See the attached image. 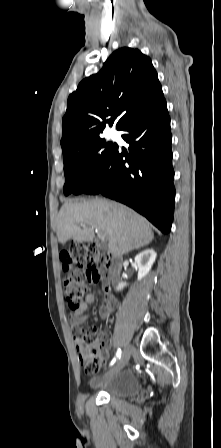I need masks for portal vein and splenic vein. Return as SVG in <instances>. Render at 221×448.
Returning <instances> with one entry per match:
<instances>
[{"label": "portal vein and splenic vein", "mask_w": 221, "mask_h": 448, "mask_svg": "<svg viewBox=\"0 0 221 448\" xmlns=\"http://www.w3.org/2000/svg\"><path fill=\"white\" fill-rule=\"evenodd\" d=\"M100 239H101V240H104V236H103V235H101V234H100Z\"/></svg>", "instance_id": "1"}]
</instances>
